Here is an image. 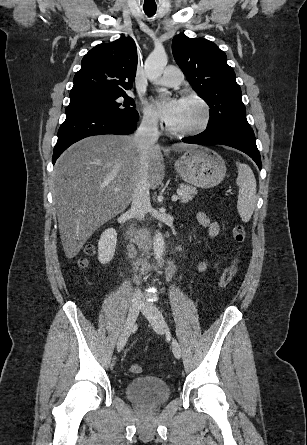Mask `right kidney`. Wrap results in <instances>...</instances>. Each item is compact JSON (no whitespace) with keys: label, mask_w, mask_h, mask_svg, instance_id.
Wrapping results in <instances>:
<instances>
[{"label":"right kidney","mask_w":307,"mask_h":445,"mask_svg":"<svg viewBox=\"0 0 307 445\" xmlns=\"http://www.w3.org/2000/svg\"><path fill=\"white\" fill-rule=\"evenodd\" d=\"M116 243L117 233L115 229H106V231L102 233L98 243V259L102 265H106V263H110V261H112L116 249Z\"/></svg>","instance_id":"obj_1"}]
</instances>
